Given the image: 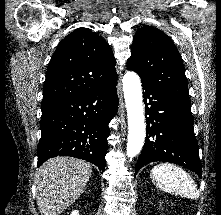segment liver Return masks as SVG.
Returning a JSON list of instances; mask_svg holds the SVG:
<instances>
[{
  "label": "liver",
  "instance_id": "obj_1",
  "mask_svg": "<svg viewBox=\"0 0 221 215\" xmlns=\"http://www.w3.org/2000/svg\"><path fill=\"white\" fill-rule=\"evenodd\" d=\"M92 165L72 157L47 160L36 175V200L41 215H59L83 192Z\"/></svg>",
  "mask_w": 221,
  "mask_h": 215
}]
</instances>
